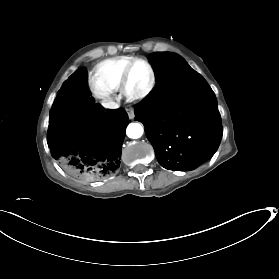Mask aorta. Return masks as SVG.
Wrapping results in <instances>:
<instances>
[{
    "instance_id": "1",
    "label": "aorta",
    "mask_w": 279,
    "mask_h": 279,
    "mask_svg": "<svg viewBox=\"0 0 279 279\" xmlns=\"http://www.w3.org/2000/svg\"><path fill=\"white\" fill-rule=\"evenodd\" d=\"M143 127L139 123H130L126 128V134L129 138L137 139L142 136Z\"/></svg>"
}]
</instances>
